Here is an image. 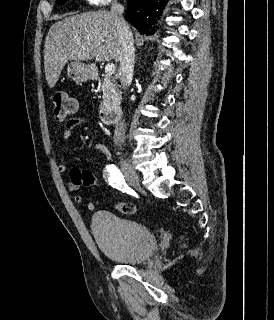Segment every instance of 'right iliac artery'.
<instances>
[{"mask_svg":"<svg viewBox=\"0 0 274 320\" xmlns=\"http://www.w3.org/2000/svg\"><path fill=\"white\" fill-rule=\"evenodd\" d=\"M107 171L110 175L109 181L112 187L137 197V194L135 193V191L128 187L122 173L119 171V169L116 166L114 165L107 166Z\"/></svg>","mask_w":274,"mask_h":320,"instance_id":"obj_1","label":"right iliac artery"}]
</instances>
